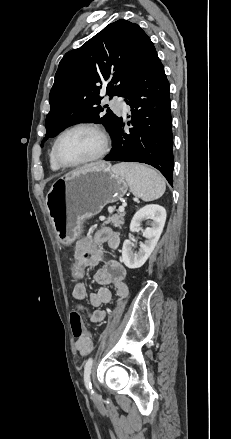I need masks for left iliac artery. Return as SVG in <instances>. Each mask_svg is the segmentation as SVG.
<instances>
[{
	"mask_svg": "<svg viewBox=\"0 0 231 439\" xmlns=\"http://www.w3.org/2000/svg\"><path fill=\"white\" fill-rule=\"evenodd\" d=\"M93 359L89 358L84 366V383L86 388L93 393L92 390V384L90 381V374H91V368H92Z\"/></svg>",
	"mask_w": 231,
	"mask_h": 439,
	"instance_id": "44dca946",
	"label": "left iliac artery"
}]
</instances>
